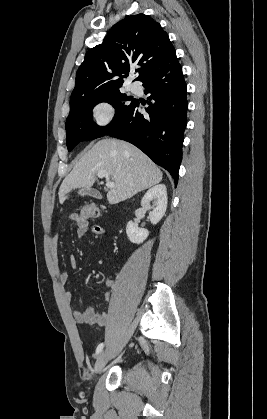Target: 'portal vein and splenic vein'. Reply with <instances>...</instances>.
<instances>
[{
    "label": "portal vein and splenic vein",
    "mask_w": 267,
    "mask_h": 419,
    "mask_svg": "<svg viewBox=\"0 0 267 419\" xmlns=\"http://www.w3.org/2000/svg\"><path fill=\"white\" fill-rule=\"evenodd\" d=\"M97 176L99 178H104V177L106 178V186H107V188H110V189L114 188L115 184H114L113 181L110 180L109 175H108V173L105 170L99 171L97 173Z\"/></svg>",
    "instance_id": "portal-vein-and-splenic-vein-1"
}]
</instances>
